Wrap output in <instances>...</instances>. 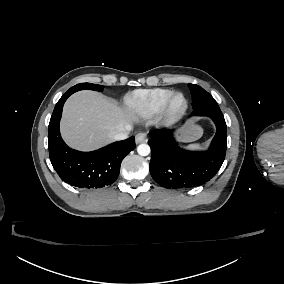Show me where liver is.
Wrapping results in <instances>:
<instances>
[{
	"instance_id": "obj_1",
	"label": "liver",
	"mask_w": 284,
	"mask_h": 284,
	"mask_svg": "<svg viewBox=\"0 0 284 284\" xmlns=\"http://www.w3.org/2000/svg\"><path fill=\"white\" fill-rule=\"evenodd\" d=\"M131 109L121 108L115 101L101 93L83 90L66 101L61 120V134L66 143L76 149L91 150L114 140V135L127 131ZM184 131V141H195L202 137L203 129L191 120Z\"/></svg>"
}]
</instances>
